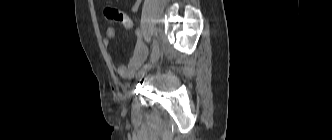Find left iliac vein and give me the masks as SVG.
I'll return each mask as SVG.
<instances>
[{"instance_id": "4c4485c4", "label": "left iliac vein", "mask_w": 332, "mask_h": 140, "mask_svg": "<svg viewBox=\"0 0 332 140\" xmlns=\"http://www.w3.org/2000/svg\"><path fill=\"white\" fill-rule=\"evenodd\" d=\"M160 55H161V51H160V49H158L157 52L150 59L149 63L144 67L142 72H145L146 70L152 68L157 63V61L159 60Z\"/></svg>"}]
</instances>
